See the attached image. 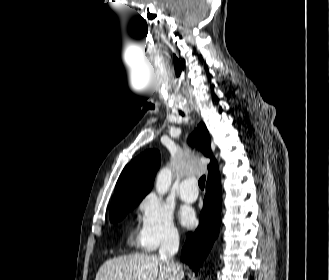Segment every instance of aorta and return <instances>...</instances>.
<instances>
[{
  "instance_id": "aorta-1",
  "label": "aorta",
  "mask_w": 329,
  "mask_h": 280,
  "mask_svg": "<svg viewBox=\"0 0 329 280\" xmlns=\"http://www.w3.org/2000/svg\"><path fill=\"white\" fill-rule=\"evenodd\" d=\"M172 184V171L165 167L161 169L156 178V191L159 196L165 195Z\"/></svg>"
}]
</instances>
